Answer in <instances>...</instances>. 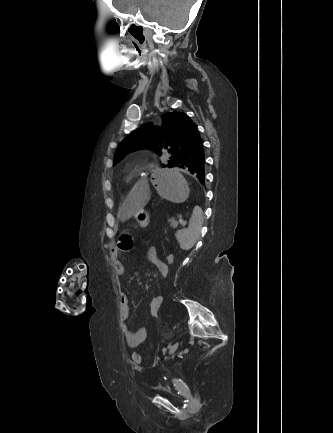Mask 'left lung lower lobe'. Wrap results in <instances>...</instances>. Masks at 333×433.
<instances>
[{
	"label": "left lung lower lobe",
	"instance_id": "1",
	"mask_svg": "<svg viewBox=\"0 0 333 433\" xmlns=\"http://www.w3.org/2000/svg\"><path fill=\"white\" fill-rule=\"evenodd\" d=\"M204 166L205 155L202 140L191 147L175 165V167L181 168L194 175L203 185L205 184Z\"/></svg>",
	"mask_w": 333,
	"mask_h": 433
}]
</instances>
